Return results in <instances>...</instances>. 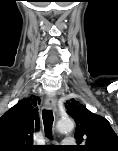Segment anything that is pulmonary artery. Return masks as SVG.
I'll return each mask as SVG.
<instances>
[{
  "instance_id": "pulmonary-artery-1",
  "label": "pulmonary artery",
  "mask_w": 118,
  "mask_h": 151,
  "mask_svg": "<svg viewBox=\"0 0 118 151\" xmlns=\"http://www.w3.org/2000/svg\"><path fill=\"white\" fill-rule=\"evenodd\" d=\"M74 140L72 138H66L63 140V144H73Z\"/></svg>"
}]
</instances>
